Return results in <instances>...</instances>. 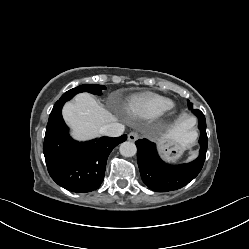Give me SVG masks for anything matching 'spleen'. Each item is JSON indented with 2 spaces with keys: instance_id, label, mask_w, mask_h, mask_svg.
Masks as SVG:
<instances>
[{
  "instance_id": "spleen-1",
  "label": "spleen",
  "mask_w": 249,
  "mask_h": 249,
  "mask_svg": "<svg viewBox=\"0 0 249 249\" xmlns=\"http://www.w3.org/2000/svg\"><path fill=\"white\" fill-rule=\"evenodd\" d=\"M196 156H197V153H193L190 157H188V161H190V160H193L194 158H196Z\"/></svg>"
}]
</instances>
